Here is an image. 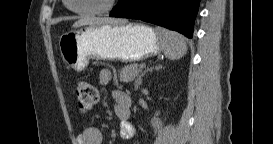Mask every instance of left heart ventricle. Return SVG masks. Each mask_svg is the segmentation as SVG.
Segmentation results:
<instances>
[{
	"instance_id": "left-heart-ventricle-1",
	"label": "left heart ventricle",
	"mask_w": 273,
	"mask_h": 144,
	"mask_svg": "<svg viewBox=\"0 0 273 144\" xmlns=\"http://www.w3.org/2000/svg\"><path fill=\"white\" fill-rule=\"evenodd\" d=\"M109 0H73L75 9H98L103 7Z\"/></svg>"
}]
</instances>
